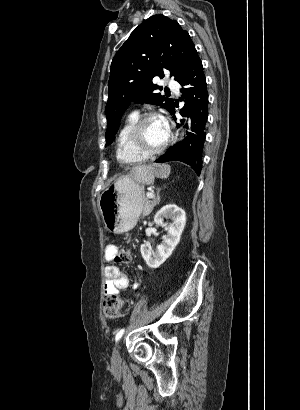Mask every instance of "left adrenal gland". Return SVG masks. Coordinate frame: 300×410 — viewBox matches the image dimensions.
<instances>
[{"label": "left adrenal gland", "instance_id": "1", "mask_svg": "<svg viewBox=\"0 0 300 410\" xmlns=\"http://www.w3.org/2000/svg\"><path fill=\"white\" fill-rule=\"evenodd\" d=\"M160 191H161V189L160 188H158L157 189V193H156V203H158L159 202V200H160Z\"/></svg>", "mask_w": 300, "mask_h": 410}]
</instances>
